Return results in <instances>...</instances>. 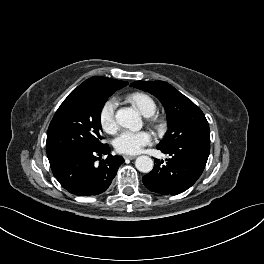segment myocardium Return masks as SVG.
<instances>
[{
    "instance_id": "myocardium-1",
    "label": "myocardium",
    "mask_w": 264,
    "mask_h": 264,
    "mask_svg": "<svg viewBox=\"0 0 264 264\" xmlns=\"http://www.w3.org/2000/svg\"><path fill=\"white\" fill-rule=\"evenodd\" d=\"M149 121H150V123H151L152 125H154L156 128H159V127H160L159 122H158V120H157L155 117H150V118H149Z\"/></svg>"
}]
</instances>
